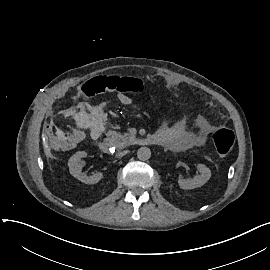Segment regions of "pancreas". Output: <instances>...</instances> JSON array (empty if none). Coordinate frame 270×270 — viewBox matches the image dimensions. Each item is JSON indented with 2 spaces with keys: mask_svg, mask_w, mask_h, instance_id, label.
<instances>
[{
  "mask_svg": "<svg viewBox=\"0 0 270 270\" xmlns=\"http://www.w3.org/2000/svg\"><path fill=\"white\" fill-rule=\"evenodd\" d=\"M111 138L114 140V145L117 147L118 150H121L124 147L130 145V140L133 139V136L130 135L128 132L123 134H118L116 132L111 134Z\"/></svg>",
  "mask_w": 270,
  "mask_h": 270,
  "instance_id": "pancreas-1",
  "label": "pancreas"
}]
</instances>
